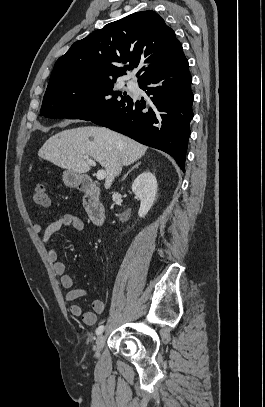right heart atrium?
<instances>
[{
    "instance_id": "d8ad5b80",
    "label": "right heart atrium",
    "mask_w": 265,
    "mask_h": 407,
    "mask_svg": "<svg viewBox=\"0 0 265 407\" xmlns=\"http://www.w3.org/2000/svg\"><path fill=\"white\" fill-rule=\"evenodd\" d=\"M94 98H95V96H94V94L93 93H86L84 96H83V102L85 103V104H90V103H92L93 101H94Z\"/></svg>"
}]
</instances>
